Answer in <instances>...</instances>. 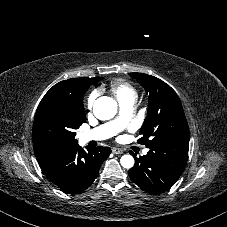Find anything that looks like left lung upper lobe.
Segmentation results:
<instances>
[{
  "label": "left lung upper lobe",
  "mask_w": 227,
  "mask_h": 227,
  "mask_svg": "<svg viewBox=\"0 0 227 227\" xmlns=\"http://www.w3.org/2000/svg\"><path fill=\"white\" fill-rule=\"evenodd\" d=\"M148 94V113L138 143L147 146L189 142V128L182 104L164 81L144 73H130Z\"/></svg>",
  "instance_id": "left-lung-upper-lobe-1"
}]
</instances>
